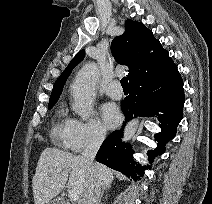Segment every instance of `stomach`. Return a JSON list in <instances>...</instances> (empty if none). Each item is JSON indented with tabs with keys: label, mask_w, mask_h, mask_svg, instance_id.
<instances>
[{
	"label": "stomach",
	"mask_w": 212,
	"mask_h": 204,
	"mask_svg": "<svg viewBox=\"0 0 212 204\" xmlns=\"http://www.w3.org/2000/svg\"><path fill=\"white\" fill-rule=\"evenodd\" d=\"M47 204H59L57 200L49 201Z\"/></svg>",
	"instance_id": "1"
}]
</instances>
